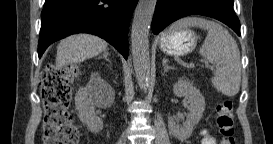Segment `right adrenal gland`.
<instances>
[{
  "mask_svg": "<svg viewBox=\"0 0 273 144\" xmlns=\"http://www.w3.org/2000/svg\"><path fill=\"white\" fill-rule=\"evenodd\" d=\"M108 55H109V52H108V49H106V50L104 51V53H103L101 56L98 57V59L104 58L106 61H108V62L110 63V60H109V58H108Z\"/></svg>",
  "mask_w": 273,
  "mask_h": 144,
  "instance_id": "right-adrenal-gland-1",
  "label": "right adrenal gland"
}]
</instances>
